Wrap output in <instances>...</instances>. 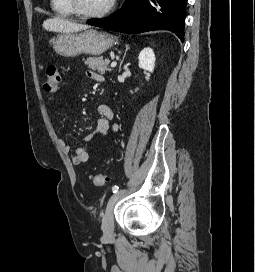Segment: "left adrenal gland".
I'll return each mask as SVG.
<instances>
[{
  "label": "left adrenal gland",
  "instance_id": "left-adrenal-gland-1",
  "mask_svg": "<svg viewBox=\"0 0 255 272\" xmlns=\"http://www.w3.org/2000/svg\"><path fill=\"white\" fill-rule=\"evenodd\" d=\"M125 47H126V50H125V53H124V56H123L122 60L120 61L119 72L121 71V66H122V64H123L124 58H125V56H126V53H127V51L129 50V46H128V45H125Z\"/></svg>",
  "mask_w": 255,
  "mask_h": 272
}]
</instances>
